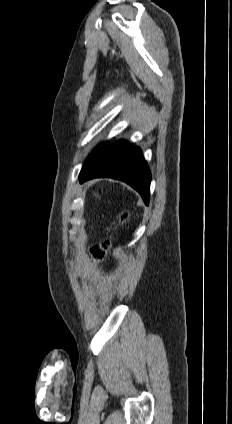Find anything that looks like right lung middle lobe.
I'll return each mask as SVG.
<instances>
[{"mask_svg": "<svg viewBox=\"0 0 232 424\" xmlns=\"http://www.w3.org/2000/svg\"><path fill=\"white\" fill-rule=\"evenodd\" d=\"M107 143H103L100 146H98L87 158V160L85 161L82 170L80 172V174L94 161V159L100 154V152L102 151V149L104 148V146Z\"/></svg>", "mask_w": 232, "mask_h": 424, "instance_id": "obj_1", "label": "right lung middle lobe"}]
</instances>
